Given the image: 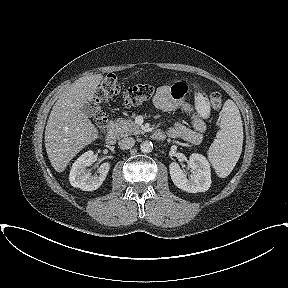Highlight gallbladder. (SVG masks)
<instances>
[{"label":"gallbladder","mask_w":288,"mask_h":288,"mask_svg":"<svg viewBox=\"0 0 288 288\" xmlns=\"http://www.w3.org/2000/svg\"><path fill=\"white\" fill-rule=\"evenodd\" d=\"M81 110L88 117H93L94 116V109L89 103H84L82 108H81Z\"/></svg>","instance_id":"gallbladder-1"}]
</instances>
